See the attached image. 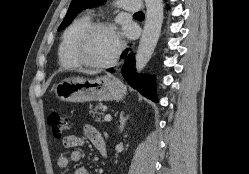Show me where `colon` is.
Returning <instances> with one entry per match:
<instances>
[{
  "label": "colon",
  "instance_id": "1",
  "mask_svg": "<svg viewBox=\"0 0 249 174\" xmlns=\"http://www.w3.org/2000/svg\"><path fill=\"white\" fill-rule=\"evenodd\" d=\"M47 123L55 138L63 137L70 130L69 119L56 111L49 113Z\"/></svg>",
  "mask_w": 249,
  "mask_h": 174
}]
</instances>
